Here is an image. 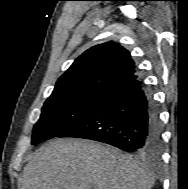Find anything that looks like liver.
<instances>
[{"label":"liver","instance_id":"obj_1","mask_svg":"<svg viewBox=\"0 0 188 189\" xmlns=\"http://www.w3.org/2000/svg\"><path fill=\"white\" fill-rule=\"evenodd\" d=\"M154 175L117 148L83 139H55L23 169L20 189H150Z\"/></svg>","mask_w":188,"mask_h":189}]
</instances>
